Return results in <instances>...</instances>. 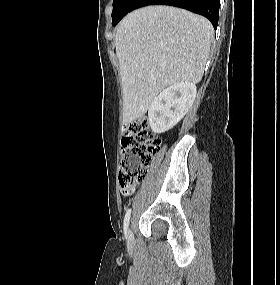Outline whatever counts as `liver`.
Returning a JSON list of instances; mask_svg holds the SVG:
<instances>
[{
    "label": "liver",
    "mask_w": 280,
    "mask_h": 285,
    "mask_svg": "<svg viewBox=\"0 0 280 285\" xmlns=\"http://www.w3.org/2000/svg\"><path fill=\"white\" fill-rule=\"evenodd\" d=\"M214 30L204 17L168 6H149L119 23L115 47L123 95V121L144 115L157 95L203 76Z\"/></svg>",
    "instance_id": "obj_1"
}]
</instances>
